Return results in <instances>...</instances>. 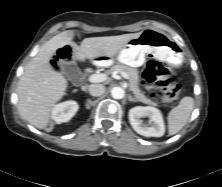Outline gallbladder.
I'll return each mask as SVG.
<instances>
[{"instance_id": "obj_1", "label": "gallbladder", "mask_w": 222, "mask_h": 187, "mask_svg": "<svg viewBox=\"0 0 222 187\" xmlns=\"http://www.w3.org/2000/svg\"><path fill=\"white\" fill-rule=\"evenodd\" d=\"M58 65L61 73L64 74L73 84L78 85L82 79V72L74 62L59 60Z\"/></svg>"}]
</instances>
